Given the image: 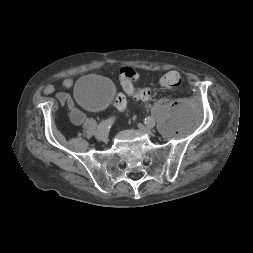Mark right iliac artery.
<instances>
[{
    "instance_id": "82829eb1",
    "label": "right iliac artery",
    "mask_w": 253,
    "mask_h": 253,
    "mask_svg": "<svg viewBox=\"0 0 253 253\" xmlns=\"http://www.w3.org/2000/svg\"><path fill=\"white\" fill-rule=\"evenodd\" d=\"M113 122H114V118H109L107 120H104L101 123H99V125L97 126V130L109 129L111 125L113 124Z\"/></svg>"
}]
</instances>
